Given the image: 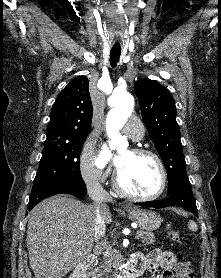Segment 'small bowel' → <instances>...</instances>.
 <instances>
[{"label":"small bowel","instance_id":"small-bowel-1","mask_svg":"<svg viewBox=\"0 0 221 278\" xmlns=\"http://www.w3.org/2000/svg\"><path fill=\"white\" fill-rule=\"evenodd\" d=\"M134 260L140 270L148 269L151 272H158V278H173V269L178 273L181 264H189L188 262L178 261L174 253L159 249L151 251L146 256L136 255Z\"/></svg>","mask_w":221,"mask_h":278}]
</instances>
